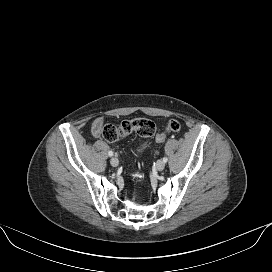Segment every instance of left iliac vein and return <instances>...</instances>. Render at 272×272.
<instances>
[{"label": "left iliac vein", "mask_w": 272, "mask_h": 272, "mask_svg": "<svg viewBox=\"0 0 272 272\" xmlns=\"http://www.w3.org/2000/svg\"><path fill=\"white\" fill-rule=\"evenodd\" d=\"M155 167L158 171H162L165 168V163L162 160H158Z\"/></svg>", "instance_id": "1"}]
</instances>
